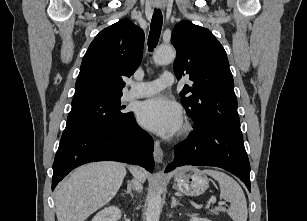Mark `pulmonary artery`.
<instances>
[{
    "label": "pulmonary artery",
    "mask_w": 307,
    "mask_h": 221,
    "mask_svg": "<svg viewBox=\"0 0 307 221\" xmlns=\"http://www.w3.org/2000/svg\"><path fill=\"white\" fill-rule=\"evenodd\" d=\"M174 82L173 74L163 73L159 79L150 82L135 83L130 82L131 89L126 94V99L142 98L154 95L164 88L170 87Z\"/></svg>",
    "instance_id": "e3ab8cb5"
}]
</instances>
